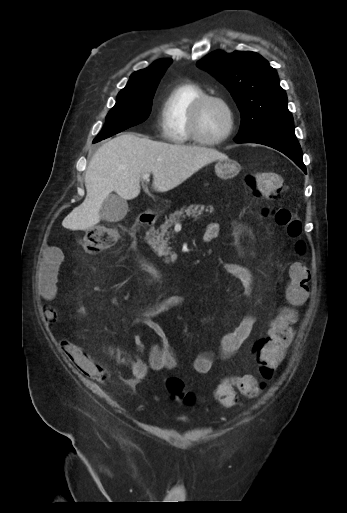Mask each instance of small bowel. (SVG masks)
<instances>
[{
	"label": "small bowel",
	"mask_w": 347,
	"mask_h": 513,
	"mask_svg": "<svg viewBox=\"0 0 347 513\" xmlns=\"http://www.w3.org/2000/svg\"><path fill=\"white\" fill-rule=\"evenodd\" d=\"M233 230L236 237L252 238L251 229L244 222L235 221L233 223ZM219 233L220 226L218 223L211 222L206 226L205 237L213 236L212 239H215L219 236ZM60 262V253L55 249L48 254L39 269L37 278L38 290L42 298L48 302L57 298V274ZM225 268L231 275L239 280L242 287L248 292V294L252 292L254 287V277L247 267L235 263H228ZM304 301L305 300L302 302ZM186 303L187 297L185 295L175 294L161 300L147 310L142 316L133 320L134 322L146 325L159 339L158 343L152 344L149 347L147 360H144L141 357V354L146 350V345L143 336L140 335L134 338V346L136 349L135 353L127 352L117 346H110L107 348V354L111 358H113L119 365L125 366L131 371L132 378L127 381L129 386L137 385L142 379H144L149 370L161 371L175 370L178 368L179 363L169 336L163 326L157 322L155 318L175 307L183 306ZM77 311L80 314H85L87 312V307L80 303L77 306ZM45 318L49 323H53L57 318L56 309L51 306L46 307ZM255 322V314L253 312H249L232 331L223 335L220 341L219 356L223 359H228L240 351L249 339ZM259 342L254 344V349L258 348ZM61 346L66 355L74 360L77 367L82 372H86V375L94 378L102 377V372L99 367L89 361L77 346L67 341H63ZM216 357L217 353L212 350L201 351L193 357L192 368L197 373L206 374L211 371Z\"/></svg>",
	"instance_id": "1"
}]
</instances>
